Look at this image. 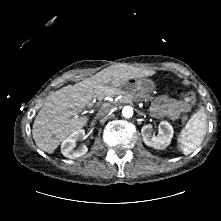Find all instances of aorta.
Wrapping results in <instances>:
<instances>
[{
  "label": "aorta",
  "instance_id": "762f6f07",
  "mask_svg": "<svg viewBox=\"0 0 221 221\" xmlns=\"http://www.w3.org/2000/svg\"><path fill=\"white\" fill-rule=\"evenodd\" d=\"M122 114L124 117L126 118H130L132 117L133 115V108L131 106H125L123 109H122Z\"/></svg>",
  "mask_w": 221,
  "mask_h": 221
}]
</instances>
